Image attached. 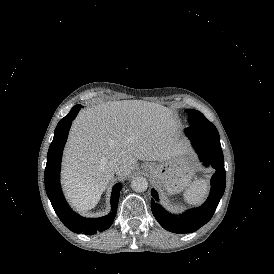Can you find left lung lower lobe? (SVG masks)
I'll return each instance as SVG.
<instances>
[{"label": "left lung lower lobe", "instance_id": "0a47b994", "mask_svg": "<svg viewBox=\"0 0 274 274\" xmlns=\"http://www.w3.org/2000/svg\"><path fill=\"white\" fill-rule=\"evenodd\" d=\"M186 134L205 165L210 164L216 172L211 179V191L206 202L182 215H172L156 201L158 195L152 190V213L161 226L174 233H191L206 224L213 216L225 190L226 174L223 153L220 147L219 133L216 128H201L190 124Z\"/></svg>", "mask_w": 274, "mask_h": 274}]
</instances>
